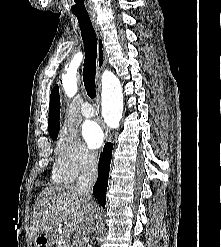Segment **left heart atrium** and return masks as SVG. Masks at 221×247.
<instances>
[{"instance_id":"left-heart-atrium-1","label":"left heart atrium","mask_w":221,"mask_h":247,"mask_svg":"<svg viewBox=\"0 0 221 247\" xmlns=\"http://www.w3.org/2000/svg\"><path fill=\"white\" fill-rule=\"evenodd\" d=\"M81 133L86 144L91 149H98L104 141L103 131L95 121H86L82 125Z\"/></svg>"}]
</instances>
